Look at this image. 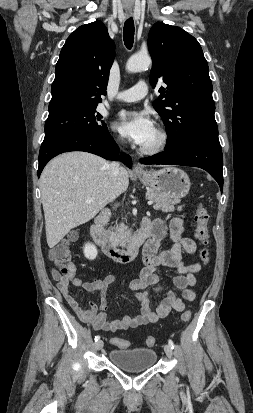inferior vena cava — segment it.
Segmentation results:
<instances>
[{"mask_svg": "<svg viewBox=\"0 0 253 413\" xmlns=\"http://www.w3.org/2000/svg\"><path fill=\"white\" fill-rule=\"evenodd\" d=\"M108 170H109V174H110V177H111L112 181L115 182L118 178V173H119V170H120V163L116 162V161H113V162L109 163L108 164ZM117 196H118V193L115 192L114 193V199Z\"/></svg>", "mask_w": 253, "mask_h": 413, "instance_id": "1", "label": "inferior vena cava"}]
</instances>
